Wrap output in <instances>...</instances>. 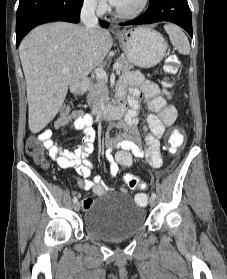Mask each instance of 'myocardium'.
<instances>
[{"instance_id":"myocardium-1","label":"myocardium","mask_w":227,"mask_h":279,"mask_svg":"<svg viewBox=\"0 0 227 279\" xmlns=\"http://www.w3.org/2000/svg\"><path fill=\"white\" fill-rule=\"evenodd\" d=\"M150 0H141L139 7L133 11L125 12L120 10L117 6L114 7L115 13L120 18H136L143 14L149 6Z\"/></svg>"}]
</instances>
